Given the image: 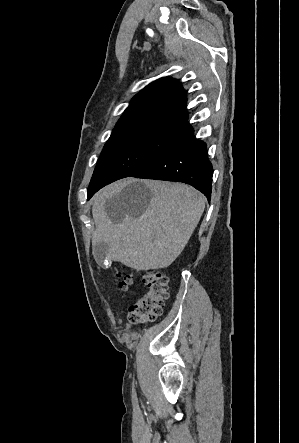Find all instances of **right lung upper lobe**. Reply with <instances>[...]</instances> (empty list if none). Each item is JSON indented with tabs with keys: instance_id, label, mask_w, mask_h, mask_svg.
<instances>
[{
	"instance_id": "right-lung-upper-lobe-1",
	"label": "right lung upper lobe",
	"mask_w": 299,
	"mask_h": 443,
	"mask_svg": "<svg viewBox=\"0 0 299 443\" xmlns=\"http://www.w3.org/2000/svg\"><path fill=\"white\" fill-rule=\"evenodd\" d=\"M186 93L175 79L161 78L144 88L131 101L113 132L142 121L185 122Z\"/></svg>"
}]
</instances>
